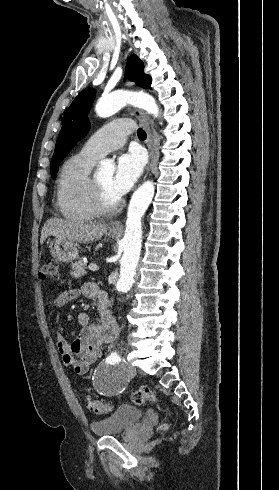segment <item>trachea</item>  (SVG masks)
Segmentation results:
<instances>
[{"label": "trachea", "instance_id": "1", "mask_svg": "<svg viewBox=\"0 0 279 490\" xmlns=\"http://www.w3.org/2000/svg\"><path fill=\"white\" fill-rule=\"evenodd\" d=\"M137 135H138L140 140H145V138H146V133L144 132V130L142 128L138 129Z\"/></svg>", "mask_w": 279, "mask_h": 490}]
</instances>
